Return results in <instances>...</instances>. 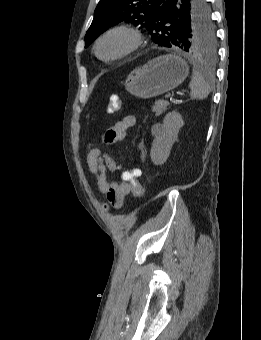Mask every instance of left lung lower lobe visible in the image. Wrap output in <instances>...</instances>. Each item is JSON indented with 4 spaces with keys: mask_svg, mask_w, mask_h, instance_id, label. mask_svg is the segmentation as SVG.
Wrapping results in <instances>:
<instances>
[{
    "mask_svg": "<svg viewBox=\"0 0 261 340\" xmlns=\"http://www.w3.org/2000/svg\"><path fill=\"white\" fill-rule=\"evenodd\" d=\"M194 3V0H166L159 18L176 25L182 16L191 14Z\"/></svg>",
    "mask_w": 261,
    "mask_h": 340,
    "instance_id": "0a47b994",
    "label": "left lung lower lobe"
}]
</instances>
